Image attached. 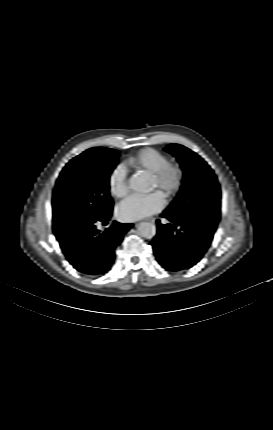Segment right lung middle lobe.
I'll return each instance as SVG.
<instances>
[{"instance_id": "right-lung-middle-lobe-1", "label": "right lung middle lobe", "mask_w": 273, "mask_h": 430, "mask_svg": "<svg viewBox=\"0 0 273 430\" xmlns=\"http://www.w3.org/2000/svg\"><path fill=\"white\" fill-rule=\"evenodd\" d=\"M119 151L88 149L62 170L53 192V231L56 236L89 224L113 209L109 178Z\"/></svg>"}]
</instances>
